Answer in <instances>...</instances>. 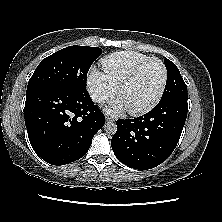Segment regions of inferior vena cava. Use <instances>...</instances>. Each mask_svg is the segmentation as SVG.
Wrapping results in <instances>:
<instances>
[{
  "label": "inferior vena cava",
  "mask_w": 222,
  "mask_h": 222,
  "mask_svg": "<svg viewBox=\"0 0 222 222\" xmlns=\"http://www.w3.org/2000/svg\"><path fill=\"white\" fill-rule=\"evenodd\" d=\"M92 99L93 101H96V102H102L105 99V96L101 94H93Z\"/></svg>",
  "instance_id": "1"
}]
</instances>
